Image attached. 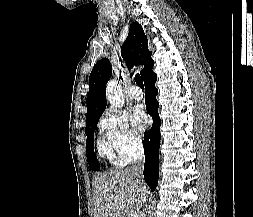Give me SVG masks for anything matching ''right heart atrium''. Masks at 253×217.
I'll list each match as a JSON object with an SVG mask.
<instances>
[{
	"label": "right heart atrium",
	"instance_id": "d8ad5b80",
	"mask_svg": "<svg viewBox=\"0 0 253 217\" xmlns=\"http://www.w3.org/2000/svg\"><path fill=\"white\" fill-rule=\"evenodd\" d=\"M98 126L123 163L142 148L141 135L130 125L125 115L108 110L101 116Z\"/></svg>",
	"mask_w": 253,
	"mask_h": 217
}]
</instances>
